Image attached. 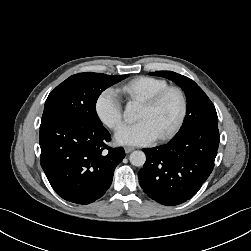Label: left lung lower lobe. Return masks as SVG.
<instances>
[{"label":"left lung lower lobe","instance_id":"1","mask_svg":"<svg viewBox=\"0 0 251 251\" xmlns=\"http://www.w3.org/2000/svg\"><path fill=\"white\" fill-rule=\"evenodd\" d=\"M218 146V128H198L166 145L143 149L146 162L138 173L139 184L160 204L184 203L212 172Z\"/></svg>","mask_w":251,"mask_h":251}]
</instances>
